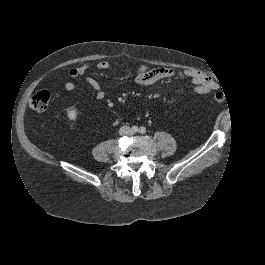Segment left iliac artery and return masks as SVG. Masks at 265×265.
Returning a JSON list of instances; mask_svg holds the SVG:
<instances>
[{"mask_svg": "<svg viewBox=\"0 0 265 265\" xmlns=\"http://www.w3.org/2000/svg\"><path fill=\"white\" fill-rule=\"evenodd\" d=\"M139 132H140L141 134H144V133L146 132V128H145V127H141V128L139 129Z\"/></svg>", "mask_w": 265, "mask_h": 265, "instance_id": "44dca946", "label": "left iliac artery"}]
</instances>
